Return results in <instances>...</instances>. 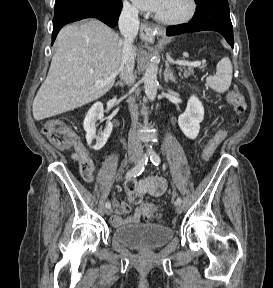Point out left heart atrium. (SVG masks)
<instances>
[{
	"mask_svg": "<svg viewBox=\"0 0 273 288\" xmlns=\"http://www.w3.org/2000/svg\"><path fill=\"white\" fill-rule=\"evenodd\" d=\"M133 2L143 11L158 12L162 8L165 0H133Z\"/></svg>",
	"mask_w": 273,
	"mask_h": 288,
	"instance_id": "obj_1",
	"label": "left heart atrium"
}]
</instances>
